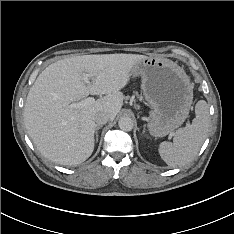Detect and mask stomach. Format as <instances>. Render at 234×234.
Returning <instances> with one entry per match:
<instances>
[{"label": "stomach", "mask_w": 234, "mask_h": 234, "mask_svg": "<svg viewBox=\"0 0 234 234\" xmlns=\"http://www.w3.org/2000/svg\"><path fill=\"white\" fill-rule=\"evenodd\" d=\"M131 76L142 78V90L151 107L148 128L153 136H166L183 124L193 89L182 67L166 58L147 57L133 66Z\"/></svg>", "instance_id": "1"}]
</instances>
